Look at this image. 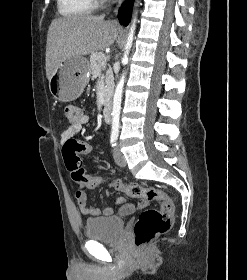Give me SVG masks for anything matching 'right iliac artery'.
<instances>
[{
    "instance_id": "82829eb1",
    "label": "right iliac artery",
    "mask_w": 247,
    "mask_h": 280,
    "mask_svg": "<svg viewBox=\"0 0 247 280\" xmlns=\"http://www.w3.org/2000/svg\"><path fill=\"white\" fill-rule=\"evenodd\" d=\"M117 137H111L110 144L112 147L116 146Z\"/></svg>"
}]
</instances>
